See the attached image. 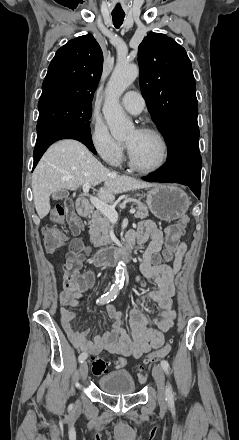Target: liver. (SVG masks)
Listing matches in <instances>:
<instances>
[{
  "mask_svg": "<svg viewBox=\"0 0 239 440\" xmlns=\"http://www.w3.org/2000/svg\"><path fill=\"white\" fill-rule=\"evenodd\" d=\"M101 182L104 188L99 190L98 198L102 202H113L115 194L155 186L110 172L76 140L56 142L48 148L32 174L33 200L39 218L42 220L49 214L50 196L56 190H78L83 184L98 186Z\"/></svg>",
  "mask_w": 239,
  "mask_h": 440,
  "instance_id": "1",
  "label": "liver"
}]
</instances>
